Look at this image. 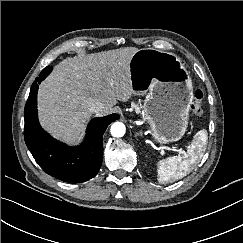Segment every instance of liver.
I'll return each mask as SVG.
<instances>
[{"label":"liver","instance_id":"1","mask_svg":"<svg viewBox=\"0 0 243 243\" xmlns=\"http://www.w3.org/2000/svg\"><path fill=\"white\" fill-rule=\"evenodd\" d=\"M139 49L124 47L64 59L43 81L38 92V114L54 137L74 142L91 117L87 101L96 99L108 114L118 101L133 93L129 63Z\"/></svg>","mask_w":243,"mask_h":243}]
</instances>
